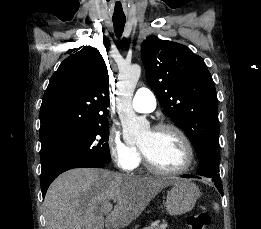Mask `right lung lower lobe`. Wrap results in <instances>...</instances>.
<instances>
[{"instance_id": "right-lung-lower-lobe-1", "label": "right lung lower lobe", "mask_w": 261, "mask_h": 229, "mask_svg": "<svg viewBox=\"0 0 261 229\" xmlns=\"http://www.w3.org/2000/svg\"><path fill=\"white\" fill-rule=\"evenodd\" d=\"M103 167H105V164L102 163H81L75 165L54 167L46 171H43L41 173V178H40L43 198L45 197L46 191L49 185L51 184V182L61 173L72 168H103Z\"/></svg>"}]
</instances>
